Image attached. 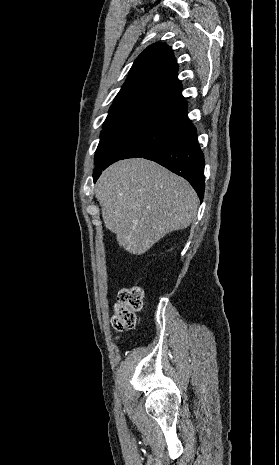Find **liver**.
I'll return each instance as SVG.
<instances>
[{
	"instance_id": "liver-1",
	"label": "liver",
	"mask_w": 279,
	"mask_h": 465,
	"mask_svg": "<svg viewBox=\"0 0 279 465\" xmlns=\"http://www.w3.org/2000/svg\"><path fill=\"white\" fill-rule=\"evenodd\" d=\"M105 226L127 252L141 255L193 221L198 197L182 177L143 158L118 161L95 185Z\"/></svg>"
}]
</instances>
